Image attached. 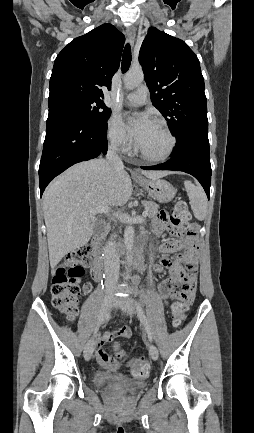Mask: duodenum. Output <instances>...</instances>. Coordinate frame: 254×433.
<instances>
[{"mask_svg": "<svg viewBox=\"0 0 254 433\" xmlns=\"http://www.w3.org/2000/svg\"><path fill=\"white\" fill-rule=\"evenodd\" d=\"M92 248L94 252V261L91 266V274L94 279L100 280L103 276L104 261L101 256L102 249L99 239L95 238L92 241Z\"/></svg>", "mask_w": 254, "mask_h": 433, "instance_id": "1", "label": "duodenum"}]
</instances>
